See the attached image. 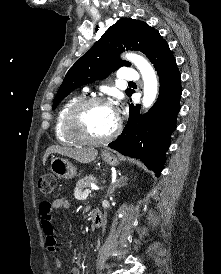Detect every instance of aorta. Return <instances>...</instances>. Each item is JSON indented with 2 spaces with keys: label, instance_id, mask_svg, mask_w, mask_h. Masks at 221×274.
<instances>
[{
  "label": "aorta",
  "instance_id": "1",
  "mask_svg": "<svg viewBox=\"0 0 221 274\" xmlns=\"http://www.w3.org/2000/svg\"><path fill=\"white\" fill-rule=\"evenodd\" d=\"M124 58L132 62L140 71L144 82L143 106L150 108L158 93V81L153 67L145 58L135 53H127Z\"/></svg>",
  "mask_w": 221,
  "mask_h": 274
}]
</instances>
